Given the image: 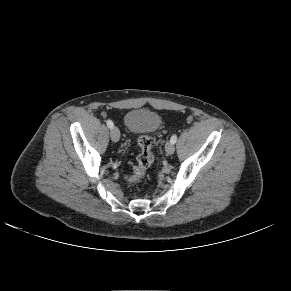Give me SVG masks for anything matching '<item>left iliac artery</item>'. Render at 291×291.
I'll return each instance as SVG.
<instances>
[{
    "label": "left iliac artery",
    "instance_id": "obj_1",
    "mask_svg": "<svg viewBox=\"0 0 291 291\" xmlns=\"http://www.w3.org/2000/svg\"><path fill=\"white\" fill-rule=\"evenodd\" d=\"M176 141H177V135L174 134V135H172L170 142L174 144V143H176Z\"/></svg>",
    "mask_w": 291,
    "mask_h": 291
}]
</instances>
